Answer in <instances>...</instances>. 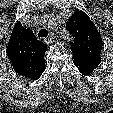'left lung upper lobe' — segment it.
Wrapping results in <instances>:
<instances>
[{"label":"left lung upper lobe","instance_id":"1","mask_svg":"<svg viewBox=\"0 0 113 113\" xmlns=\"http://www.w3.org/2000/svg\"><path fill=\"white\" fill-rule=\"evenodd\" d=\"M67 30L75 38L71 43L74 64L85 75L90 74L101 62L102 38L94 23L83 11H76L69 18Z\"/></svg>","mask_w":113,"mask_h":113}]
</instances>
